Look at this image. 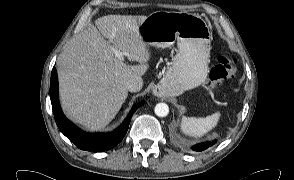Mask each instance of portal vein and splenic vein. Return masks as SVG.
Listing matches in <instances>:
<instances>
[{
    "mask_svg": "<svg viewBox=\"0 0 294 180\" xmlns=\"http://www.w3.org/2000/svg\"><path fill=\"white\" fill-rule=\"evenodd\" d=\"M113 51L115 53V55L119 58V59H124V54L116 49L113 48Z\"/></svg>",
    "mask_w": 294,
    "mask_h": 180,
    "instance_id": "portal-vein-and-splenic-vein-1",
    "label": "portal vein and splenic vein"
}]
</instances>
